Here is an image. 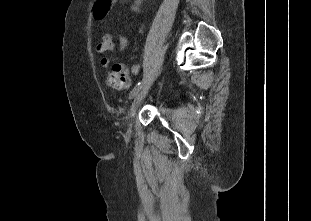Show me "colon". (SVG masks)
<instances>
[{"mask_svg": "<svg viewBox=\"0 0 311 221\" xmlns=\"http://www.w3.org/2000/svg\"><path fill=\"white\" fill-rule=\"evenodd\" d=\"M116 0H96L93 10V17H96L97 22H104L105 17H108V12H112L113 7L110 4H115ZM108 47L105 44L102 48H100V52L105 54ZM121 75L120 70L113 69L107 78V82L110 85H116L118 77Z\"/></svg>", "mask_w": 311, "mask_h": 221, "instance_id": "colon-1", "label": "colon"}]
</instances>
